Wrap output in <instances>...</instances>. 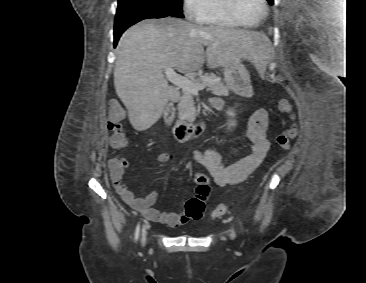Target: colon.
<instances>
[{
  "instance_id": "1",
  "label": "colon",
  "mask_w": 366,
  "mask_h": 283,
  "mask_svg": "<svg viewBox=\"0 0 366 283\" xmlns=\"http://www.w3.org/2000/svg\"><path fill=\"white\" fill-rule=\"evenodd\" d=\"M278 109L280 112L293 117L292 109L289 102L285 99L278 101ZM124 118V110L118 102H112L109 105L107 113V128L110 133L109 144L113 148L123 149L127 147L128 141L121 126ZM297 136V127L291 124L282 130L276 137L277 144L284 150L288 151L291 147L292 140ZM122 165H127V160L120 158ZM196 186V196L190 198L185 205L183 216L188 219L198 220L202 217L205 210V202L210 191L209 179L203 173H197L194 177ZM228 211V205L219 204L214 209L212 215L217 218L224 215Z\"/></svg>"
}]
</instances>
